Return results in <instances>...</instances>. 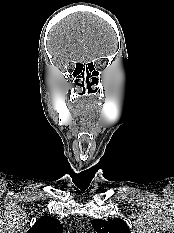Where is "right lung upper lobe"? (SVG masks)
Masks as SVG:
<instances>
[{"instance_id": "right-lung-upper-lobe-1", "label": "right lung upper lobe", "mask_w": 174, "mask_h": 233, "mask_svg": "<svg viewBox=\"0 0 174 233\" xmlns=\"http://www.w3.org/2000/svg\"><path fill=\"white\" fill-rule=\"evenodd\" d=\"M63 225L50 216H43L30 228L27 233H62Z\"/></svg>"}]
</instances>
